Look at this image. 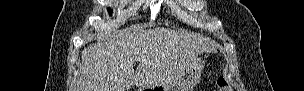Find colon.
<instances>
[{
    "mask_svg": "<svg viewBox=\"0 0 304 91\" xmlns=\"http://www.w3.org/2000/svg\"><path fill=\"white\" fill-rule=\"evenodd\" d=\"M217 90L219 91H232L231 86L229 83L222 77L217 79Z\"/></svg>",
    "mask_w": 304,
    "mask_h": 91,
    "instance_id": "5ec220e1",
    "label": "colon"
}]
</instances>
